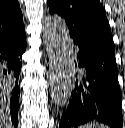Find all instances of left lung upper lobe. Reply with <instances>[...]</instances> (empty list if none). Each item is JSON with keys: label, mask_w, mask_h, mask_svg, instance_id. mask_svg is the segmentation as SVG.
I'll list each match as a JSON object with an SVG mask.
<instances>
[{"label": "left lung upper lobe", "mask_w": 125, "mask_h": 128, "mask_svg": "<svg viewBox=\"0 0 125 128\" xmlns=\"http://www.w3.org/2000/svg\"><path fill=\"white\" fill-rule=\"evenodd\" d=\"M49 12L66 20L74 42L115 52L105 9L99 0H48Z\"/></svg>", "instance_id": "left-lung-upper-lobe-1"}]
</instances>
